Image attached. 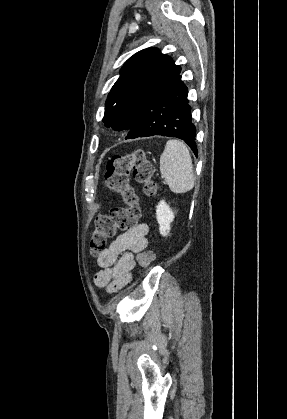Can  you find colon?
<instances>
[{
  "label": "colon",
  "instance_id": "5ec220e1",
  "mask_svg": "<svg viewBox=\"0 0 287 419\" xmlns=\"http://www.w3.org/2000/svg\"><path fill=\"white\" fill-rule=\"evenodd\" d=\"M130 175L143 185L147 195L153 196L157 193V184L152 179L153 166L142 150L110 159L105 173L107 186L123 198L126 206L112 209L109 214L97 217L90 239L93 255L103 252L108 240L115 236L118 230H129L137 225L141 211L139 198L129 183ZM153 260L154 253L151 250L138 255V265L142 269L148 268Z\"/></svg>",
  "mask_w": 287,
  "mask_h": 419
}]
</instances>
